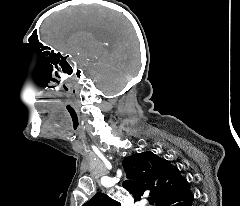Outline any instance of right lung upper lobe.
Masks as SVG:
<instances>
[{
    "instance_id": "obj_1",
    "label": "right lung upper lobe",
    "mask_w": 240,
    "mask_h": 206,
    "mask_svg": "<svg viewBox=\"0 0 240 206\" xmlns=\"http://www.w3.org/2000/svg\"><path fill=\"white\" fill-rule=\"evenodd\" d=\"M123 166L129 178L123 186L133 195L135 201L140 200L145 191H149L158 206L161 201L188 184L177 167L152 152L136 153L127 157ZM83 206H120V203L98 192Z\"/></svg>"
}]
</instances>
